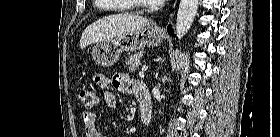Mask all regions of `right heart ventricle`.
I'll return each mask as SVG.
<instances>
[{
    "instance_id": "e07e8e85",
    "label": "right heart ventricle",
    "mask_w": 280,
    "mask_h": 137,
    "mask_svg": "<svg viewBox=\"0 0 280 137\" xmlns=\"http://www.w3.org/2000/svg\"><path fill=\"white\" fill-rule=\"evenodd\" d=\"M102 1H106V0H96V2H102ZM120 2H126V0H119ZM121 11H130L131 9L129 7H122L120 9Z\"/></svg>"
}]
</instances>
